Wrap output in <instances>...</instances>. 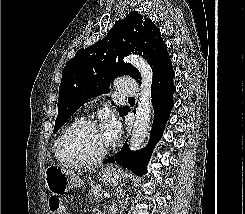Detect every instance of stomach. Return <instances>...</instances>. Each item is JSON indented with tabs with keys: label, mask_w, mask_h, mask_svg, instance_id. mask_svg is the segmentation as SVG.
<instances>
[{
	"label": "stomach",
	"mask_w": 245,
	"mask_h": 214,
	"mask_svg": "<svg viewBox=\"0 0 245 214\" xmlns=\"http://www.w3.org/2000/svg\"><path fill=\"white\" fill-rule=\"evenodd\" d=\"M102 181L111 186L118 185L123 177L121 170L107 168L101 172ZM83 181L74 171L61 168L57 165H49L45 170V186L53 195H61L71 188L80 187Z\"/></svg>",
	"instance_id": "stomach-1"
}]
</instances>
